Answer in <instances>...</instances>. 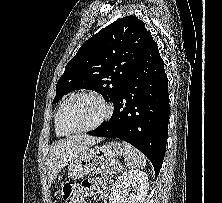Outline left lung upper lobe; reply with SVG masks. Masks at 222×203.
Instances as JSON below:
<instances>
[{"label": "left lung upper lobe", "instance_id": "5c2ea615", "mask_svg": "<svg viewBox=\"0 0 222 203\" xmlns=\"http://www.w3.org/2000/svg\"><path fill=\"white\" fill-rule=\"evenodd\" d=\"M151 34L143 21L127 16L88 39L67 63L56 85L58 102L65 94L89 89L112 102L145 51Z\"/></svg>", "mask_w": 222, "mask_h": 203}]
</instances>
